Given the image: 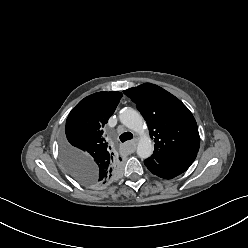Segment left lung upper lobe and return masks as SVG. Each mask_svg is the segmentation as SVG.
<instances>
[{
    "mask_svg": "<svg viewBox=\"0 0 248 248\" xmlns=\"http://www.w3.org/2000/svg\"><path fill=\"white\" fill-rule=\"evenodd\" d=\"M147 122L154 152L150 159L159 164L193 162L200 136L189 109L163 88L145 83L123 91Z\"/></svg>",
    "mask_w": 248,
    "mask_h": 248,
    "instance_id": "5c2ea615",
    "label": "left lung upper lobe"
}]
</instances>
